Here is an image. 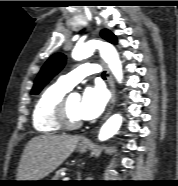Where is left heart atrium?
<instances>
[{"label":"left heart atrium","mask_w":178,"mask_h":186,"mask_svg":"<svg viewBox=\"0 0 178 186\" xmlns=\"http://www.w3.org/2000/svg\"><path fill=\"white\" fill-rule=\"evenodd\" d=\"M107 103V93L100 86L87 87L79 103V115L83 120H92L101 115Z\"/></svg>","instance_id":"39dd6f15"}]
</instances>
